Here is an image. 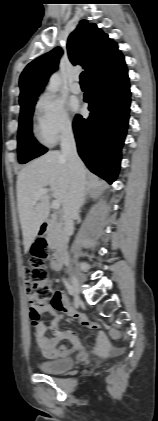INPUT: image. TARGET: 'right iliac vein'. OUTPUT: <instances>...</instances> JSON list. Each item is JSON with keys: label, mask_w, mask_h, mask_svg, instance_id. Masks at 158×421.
Instances as JSON below:
<instances>
[{"label": "right iliac vein", "mask_w": 158, "mask_h": 421, "mask_svg": "<svg viewBox=\"0 0 158 421\" xmlns=\"http://www.w3.org/2000/svg\"><path fill=\"white\" fill-rule=\"evenodd\" d=\"M70 283L72 288L74 289L75 293L79 294L80 292V285H79V281L76 277V275L74 274V272H70Z\"/></svg>", "instance_id": "63e3f726"}]
</instances>
